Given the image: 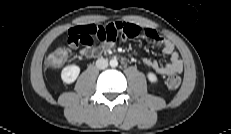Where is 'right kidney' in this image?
Masks as SVG:
<instances>
[{
  "mask_svg": "<svg viewBox=\"0 0 231 134\" xmlns=\"http://www.w3.org/2000/svg\"><path fill=\"white\" fill-rule=\"evenodd\" d=\"M80 73V68L77 65L66 66L61 72L63 82L70 84L73 83Z\"/></svg>",
  "mask_w": 231,
  "mask_h": 134,
  "instance_id": "ca27d5eb",
  "label": "right kidney"
}]
</instances>
